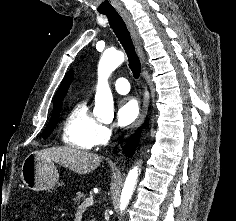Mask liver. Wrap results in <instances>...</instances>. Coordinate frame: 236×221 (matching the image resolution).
Masks as SVG:
<instances>
[{
    "mask_svg": "<svg viewBox=\"0 0 236 221\" xmlns=\"http://www.w3.org/2000/svg\"><path fill=\"white\" fill-rule=\"evenodd\" d=\"M39 153L78 174L90 173L100 165L102 160V157L97 154L71 146L51 147Z\"/></svg>",
    "mask_w": 236,
    "mask_h": 221,
    "instance_id": "1",
    "label": "liver"
}]
</instances>
